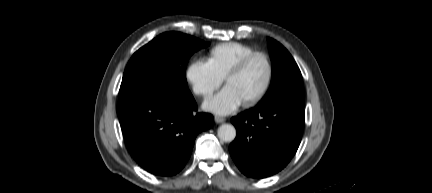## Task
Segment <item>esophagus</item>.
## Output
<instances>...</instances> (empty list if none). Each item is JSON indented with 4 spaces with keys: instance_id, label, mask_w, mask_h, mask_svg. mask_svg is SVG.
<instances>
[{
    "instance_id": "obj_1",
    "label": "esophagus",
    "mask_w": 432,
    "mask_h": 193,
    "mask_svg": "<svg viewBox=\"0 0 432 193\" xmlns=\"http://www.w3.org/2000/svg\"><path fill=\"white\" fill-rule=\"evenodd\" d=\"M224 121H225V119H224L223 117L215 116V122H216V123H222V122H224Z\"/></svg>"
}]
</instances>
